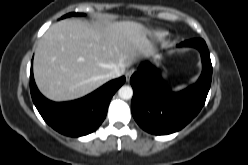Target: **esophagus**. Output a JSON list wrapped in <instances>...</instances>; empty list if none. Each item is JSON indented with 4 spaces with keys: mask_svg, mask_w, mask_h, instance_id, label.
Listing matches in <instances>:
<instances>
[{
    "mask_svg": "<svg viewBox=\"0 0 248 165\" xmlns=\"http://www.w3.org/2000/svg\"><path fill=\"white\" fill-rule=\"evenodd\" d=\"M133 73H134L133 69L126 72L125 77L127 82L130 80V77L132 76Z\"/></svg>",
    "mask_w": 248,
    "mask_h": 165,
    "instance_id": "1",
    "label": "esophagus"
}]
</instances>
